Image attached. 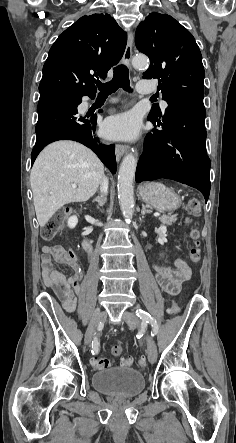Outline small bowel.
<instances>
[{
	"label": "small bowel",
	"instance_id": "1",
	"mask_svg": "<svg viewBox=\"0 0 236 443\" xmlns=\"http://www.w3.org/2000/svg\"><path fill=\"white\" fill-rule=\"evenodd\" d=\"M53 261L70 267L73 275L66 277L62 272L55 270ZM41 264L44 285L57 296L66 311H73L83 278V270L74 253L57 245L45 246ZM174 265V270L159 264L153 265L157 284L170 294L178 293L181 284L192 275V268L186 261L175 259Z\"/></svg>",
	"mask_w": 236,
	"mask_h": 443
}]
</instances>
